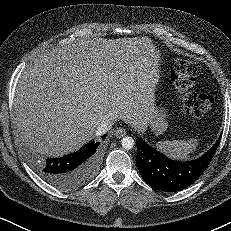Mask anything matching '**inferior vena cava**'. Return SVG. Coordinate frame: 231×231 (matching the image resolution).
<instances>
[{"label": "inferior vena cava", "instance_id": "inferior-vena-cava-1", "mask_svg": "<svg viewBox=\"0 0 231 231\" xmlns=\"http://www.w3.org/2000/svg\"><path fill=\"white\" fill-rule=\"evenodd\" d=\"M113 126V123L110 121H105L103 122L96 130V135H103L105 134L108 130H110Z\"/></svg>", "mask_w": 231, "mask_h": 231}]
</instances>
